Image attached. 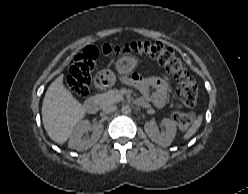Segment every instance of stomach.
I'll use <instances>...</instances> for the list:
<instances>
[{"instance_id":"0dacf381","label":"stomach","mask_w":248,"mask_h":194,"mask_svg":"<svg viewBox=\"0 0 248 194\" xmlns=\"http://www.w3.org/2000/svg\"><path fill=\"white\" fill-rule=\"evenodd\" d=\"M138 63V59L134 56H123L117 60L116 69L122 75L130 74L136 68ZM103 81L106 82L107 86H111L115 83L116 77L112 72H104Z\"/></svg>"}]
</instances>
